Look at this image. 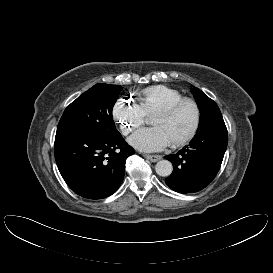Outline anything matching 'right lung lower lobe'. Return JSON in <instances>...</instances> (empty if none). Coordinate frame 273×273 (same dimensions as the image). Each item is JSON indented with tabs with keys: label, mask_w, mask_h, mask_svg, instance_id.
<instances>
[{
	"label": "right lung lower lobe",
	"mask_w": 273,
	"mask_h": 273,
	"mask_svg": "<svg viewBox=\"0 0 273 273\" xmlns=\"http://www.w3.org/2000/svg\"><path fill=\"white\" fill-rule=\"evenodd\" d=\"M55 159L66 184L78 195L103 199L117 191L125 173V161L135 153L121 134L55 139Z\"/></svg>",
	"instance_id": "1"
}]
</instances>
